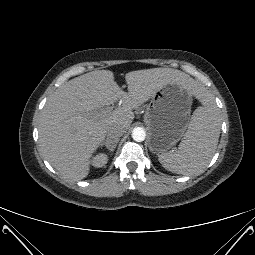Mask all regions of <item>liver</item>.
<instances>
[{
  "mask_svg": "<svg viewBox=\"0 0 255 255\" xmlns=\"http://www.w3.org/2000/svg\"><path fill=\"white\" fill-rule=\"evenodd\" d=\"M125 81L128 93L119 88L113 72L96 70L64 83L47 100L39 122L40 146L48 162L64 177L84 179L107 129L117 125L128 130L133 109L165 84L179 82L200 98L205 93L193 78L172 68L128 72ZM119 99L122 107L112 113L93 112Z\"/></svg>",
  "mask_w": 255,
  "mask_h": 255,
  "instance_id": "1",
  "label": "liver"
}]
</instances>
